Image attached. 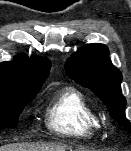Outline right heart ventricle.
I'll return each mask as SVG.
<instances>
[{"instance_id":"1","label":"right heart ventricle","mask_w":131,"mask_h":151,"mask_svg":"<svg viewBox=\"0 0 131 151\" xmlns=\"http://www.w3.org/2000/svg\"><path fill=\"white\" fill-rule=\"evenodd\" d=\"M48 127L57 134L92 138L102 130V122L85 96L74 88L61 91L47 112Z\"/></svg>"}]
</instances>
